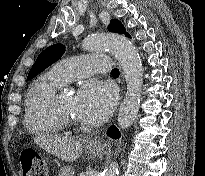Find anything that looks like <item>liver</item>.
<instances>
[{
    "label": "liver",
    "instance_id": "liver-1",
    "mask_svg": "<svg viewBox=\"0 0 205 176\" xmlns=\"http://www.w3.org/2000/svg\"><path fill=\"white\" fill-rule=\"evenodd\" d=\"M34 141L47 152L69 162L78 159L83 149L80 141L57 135H38Z\"/></svg>",
    "mask_w": 205,
    "mask_h": 176
}]
</instances>
